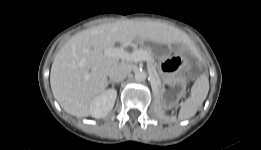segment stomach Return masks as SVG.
Returning a JSON list of instances; mask_svg holds the SVG:
<instances>
[{
    "instance_id": "stomach-1",
    "label": "stomach",
    "mask_w": 261,
    "mask_h": 150,
    "mask_svg": "<svg viewBox=\"0 0 261 150\" xmlns=\"http://www.w3.org/2000/svg\"><path fill=\"white\" fill-rule=\"evenodd\" d=\"M159 50L154 54L159 58L158 70L162 79L170 85L185 84L187 60L178 54L172 56H160Z\"/></svg>"
}]
</instances>
